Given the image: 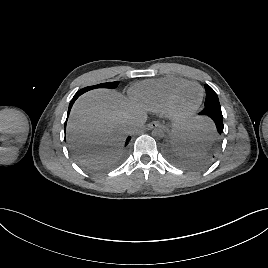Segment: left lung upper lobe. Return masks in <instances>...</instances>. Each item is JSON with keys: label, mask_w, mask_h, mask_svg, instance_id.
I'll list each match as a JSON object with an SVG mask.
<instances>
[{"label": "left lung upper lobe", "mask_w": 268, "mask_h": 268, "mask_svg": "<svg viewBox=\"0 0 268 268\" xmlns=\"http://www.w3.org/2000/svg\"><path fill=\"white\" fill-rule=\"evenodd\" d=\"M205 90H206L205 107L221 108L218 96L215 93V91L207 84L205 85Z\"/></svg>", "instance_id": "1"}]
</instances>
